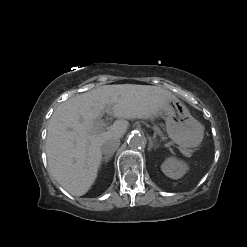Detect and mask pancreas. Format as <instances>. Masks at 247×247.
<instances>
[{"label":"pancreas","mask_w":247,"mask_h":247,"mask_svg":"<svg viewBox=\"0 0 247 247\" xmlns=\"http://www.w3.org/2000/svg\"><path fill=\"white\" fill-rule=\"evenodd\" d=\"M155 132L158 133V134H161V132L159 131V129H158L157 127H155ZM183 152H184L187 156H190V155H191L190 152H188V151L183 150Z\"/></svg>","instance_id":"pancreas-1"}]
</instances>
